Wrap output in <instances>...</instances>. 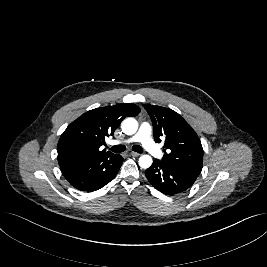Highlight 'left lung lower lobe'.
Wrapping results in <instances>:
<instances>
[{
    "label": "left lung lower lobe",
    "instance_id": "0a47b994",
    "mask_svg": "<svg viewBox=\"0 0 267 267\" xmlns=\"http://www.w3.org/2000/svg\"><path fill=\"white\" fill-rule=\"evenodd\" d=\"M145 175L153 187L167 195L184 192L193 185L198 177L189 172L166 166L157 159L145 171Z\"/></svg>",
    "mask_w": 267,
    "mask_h": 267
}]
</instances>
